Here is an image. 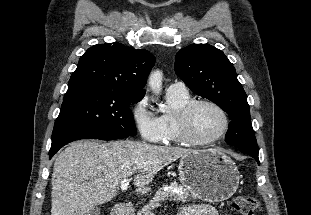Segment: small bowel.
<instances>
[{
  "label": "small bowel",
  "instance_id": "c3829d8e",
  "mask_svg": "<svg viewBox=\"0 0 311 215\" xmlns=\"http://www.w3.org/2000/svg\"><path fill=\"white\" fill-rule=\"evenodd\" d=\"M177 215H227L219 213L215 208L206 204L188 203L181 205Z\"/></svg>",
  "mask_w": 311,
  "mask_h": 215
}]
</instances>
